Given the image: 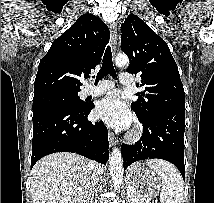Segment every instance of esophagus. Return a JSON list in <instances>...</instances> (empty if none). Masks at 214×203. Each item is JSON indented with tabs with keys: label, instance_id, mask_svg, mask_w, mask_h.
<instances>
[{
	"label": "esophagus",
	"instance_id": "34e87169",
	"mask_svg": "<svg viewBox=\"0 0 214 203\" xmlns=\"http://www.w3.org/2000/svg\"><path fill=\"white\" fill-rule=\"evenodd\" d=\"M110 35H111V45H112V50L113 54L115 55L116 52V47H117V25L115 22H111L110 26ZM116 143V138L114 134L109 131V144L110 146H113Z\"/></svg>",
	"mask_w": 214,
	"mask_h": 203
}]
</instances>
